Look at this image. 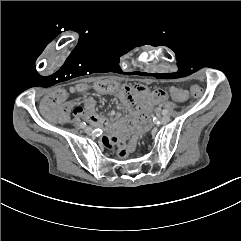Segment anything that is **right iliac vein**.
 Instances as JSON below:
<instances>
[{"label":"right iliac vein","instance_id":"1","mask_svg":"<svg viewBox=\"0 0 241 241\" xmlns=\"http://www.w3.org/2000/svg\"><path fill=\"white\" fill-rule=\"evenodd\" d=\"M92 131H93V129L91 128V127H85V132L87 133V134H91L92 133Z\"/></svg>","mask_w":241,"mask_h":241}]
</instances>
